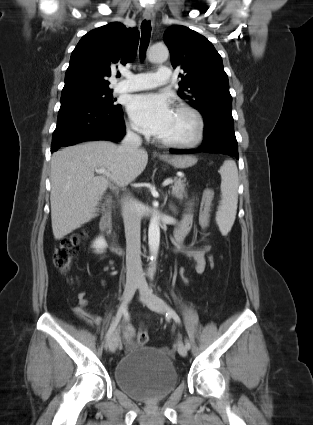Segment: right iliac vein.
Listing matches in <instances>:
<instances>
[{
	"label": "right iliac vein",
	"instance_id": "1",
	"mask_svg": "<svg viewBox=\"0 0 313 425\" xmlns=\"http://www.w3.org/2000/svg\"><path fill=\"white\" fill-rule=\"evenodd\" d=\"M138 288V283H127L124 289L122 303L126 305L133 297L136 289ZM119 343V331L118 329L113 332L109 340V349L111 352H114Z\"/></svg>",
	"mask_w": 313,
	"mask_h": 425
}]
</instances>
